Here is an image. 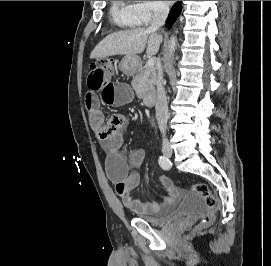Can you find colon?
Listing matches in <instances>:
<instances>
[{"label":"colon","instance_id":"1","mask_svg":"<svg viewBox=\"0 0 271 266\" xmlns=\"http://www.w3.org/2000/svg\"><path fill=\"white\" fill-rule=\"evenodd\" d=\"M92 67L103 69L105 71H113L114 62L111 58H101L92 64ZM191 190L198 194L204 201L208 214L203 220V225H208L212 220V214L217 208V200L212 194L208 186L204 183H194Z\"/></svg>","mask_w":271,"mask_h":266}]
</instances>
